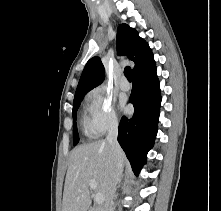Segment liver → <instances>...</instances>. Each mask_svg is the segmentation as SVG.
<instances>
[{
  "mask_svg": "<svg viewBox=\"0 0 221 211\" xmlns=\"http://www.w3.org/2000/svg\"><path fill=\"white\" fill-rule=\"evenodd\" d=\"M126 156L122 154V164ZM114 170L111 145L106 140L94 141L74 148L70 153L66 174L62 211H87L91 205L89 181H96L97 193L105 200Z\"/></svg>",
  "mask_w": 221,
  "mask_h": 211,
  "instance_id": "obj_1",
  "label": "liver"
}]
</instances>
